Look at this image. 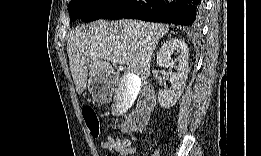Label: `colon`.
Returning <instances> with one entry per match:
<instances>
[{
	"instance_id": "1",
	"label": "colon",
	"mask_w": 261,
	"mask_h": 156,
	"mask_svg": "<svg viewBox=\"0 0 261 156\" xmlns=\"http://www.w3.org/2000/svg\"><path fill=\"white\" fill-rule=\"evenodd\" d=\"M83 117L91 136L98 138L100 135V124L95 111L90 107H86L83 109ZM144 126V123L139 125L140 128H144ZM131 137L133 138V136ZM121 141L125 146H129L131 143V138L125 136Z\"/></svg>"
}]
</instances>
